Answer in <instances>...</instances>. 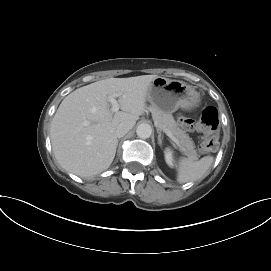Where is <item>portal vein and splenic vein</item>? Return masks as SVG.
I'll return each mask as SVG.
<instances>
[{"instance_id":"1","label":"portal vein and splenic vein","mask_w":271,"mask_h":271,"mask_svg":"<svg viewBox=\"0 0 271 271\" xmlns=\"http://www.w3.org/2000/svg\"><path fill=\"white\" fill-rule=\"evenodd\" d=\"M115 95H112V96H110L109 98H108V101L111 103V111L114 113V112H118V110H119V108H120V106H119V103H118V101L115 99ZM165 133H166V135L172 140V141H174L176 144H179V140L175 137V136H173L172 135V133L171 132H169V131H167V130H165L164 131Z\"/></svg>"}]
</instances>
